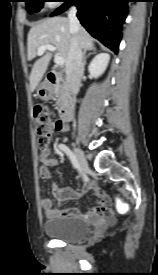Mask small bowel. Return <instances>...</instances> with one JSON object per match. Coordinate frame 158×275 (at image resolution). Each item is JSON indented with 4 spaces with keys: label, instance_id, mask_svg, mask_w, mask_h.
I'll return each instance as SVG.
<instances>
[{
    "label": "small bowel",
    "instance_id": "obj_1",
    "mask_svg": "<svg viewBox=\"0 0 158 275\" xmlns=\"http://www.w3.org/2000/svg\"><path fill=\"white\" fill-rule=\"evenodd\" d=\"M56 131H66V128L62 124V122L60 123V126L56 129ZM39 158L42 163V166L39 170L40 177L45 180H51V170L59 165V159L51 156L49 148L41 150ZM88 190H92L98 198V204L91 211L84 212L77 208L65 210L54 209L52 208V201L49 197H44L41 199V208L44 213L49 217L58 215H69L85 218H99L101 216H107L106 212L109 211V199L106 194L99 190L94 182L87 181L85 185L78 189H74L71 187H59L56 184L52 185V193L60 201L78 199L83 193Z\"/></svg>",
    "mask_w": 158,
    "mask_h": 275
}]
</instances>
